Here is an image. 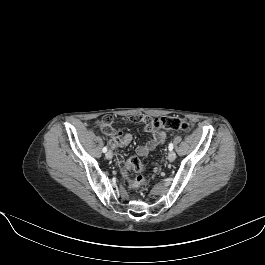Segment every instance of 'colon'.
<instances>
[{
	"label": "colon",
	"instance_id": "obj_1",
	"mask_svg": "<svg viewBox=\"0 0 265 265\" xmlns=\"http://www.w3.org/2000/svg\"><path fill=\"white\" fill-rule=\"evenodd\" d=\"M113 123V119L110 116L103 118L104 129H109ZM153 126L155 128H162L172 131L188 132L192 129L191 123L176 116H164L154 119ZM127 169L137 173V176L130 179V186L133 189L145 187L148 184L147 178L143 175L147 166L137 157H131L126 163Z\"/></svg>",
	"mask_w": 265,
	"mask_h": 265
}]
</instances>
